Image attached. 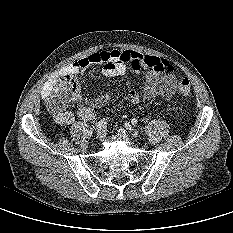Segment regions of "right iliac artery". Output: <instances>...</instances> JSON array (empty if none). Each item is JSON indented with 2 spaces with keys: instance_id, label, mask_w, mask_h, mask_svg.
Returning <instances> with one entry per match:
<instances>
[{
  "instance_id": "1",
  "label": "right iliac artery",
  "mask_w": 233,
  "mask_h": 233,
  "mask_svg": "<svg viewBox=\"0 0 233 233\" xmlns=\"http://www.w3.org/2000/svg\"><path fill=\"white\" fill-rule=\"evenodd\" d=\"M106 125H107V120L106 119H102V120H100L98 122L96 129L97 130L102 129V128L106 127Z\"/></svg>"
}]
</instances>
